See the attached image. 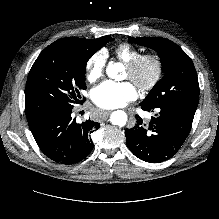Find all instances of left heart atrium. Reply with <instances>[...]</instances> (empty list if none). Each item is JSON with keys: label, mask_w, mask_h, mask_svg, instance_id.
Instances as JSON below:
<instances>
[{"label": "left heart atrium", "mask_w": 219, "mask_h": 219, "mask_svg": "<svg viewBox=\"0 0 219 219\" xmlns=\"http://www.w3.org/2000/svg\"><path fill=\"white\" fill-rule=\"evenodd\" d=\"M137 97V90L130 82L105 81L92 91L93 102L102 109L125 106Z\"/></svg>", "instance_id": "1"}]
</instances>
